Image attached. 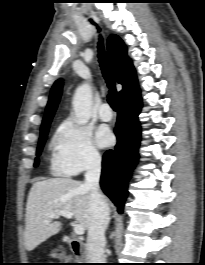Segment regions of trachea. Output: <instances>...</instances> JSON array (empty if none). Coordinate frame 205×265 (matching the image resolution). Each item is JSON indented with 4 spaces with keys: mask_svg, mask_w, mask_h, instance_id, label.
<instances>
[{
    "mask_svg": "<svg viewBox=\"0 0 205 265\" xmlns=\"http://www.w3.org/2000/svg\"><path fill=\"white\" fill-rule=\"evenodd\" d=\"M91 22L94 24L93 21H91ZM98 30H99V28H98ZM98 48H99V55H98L99 63L101 66L103 76L106 80L107 86L109 88L108 102H109L110 106L112 107V109L116 111L117 110V91H116V87H115V81H114L111 67L109 65L108 59H107L105 51H104V47L102 45L101 39H100Z\"/></svg>",
    "mask_w": 205,
    "mask_h": 265,
    "instance_id": "trachea-1",
    "label": "trachea"
}]
</instances>
